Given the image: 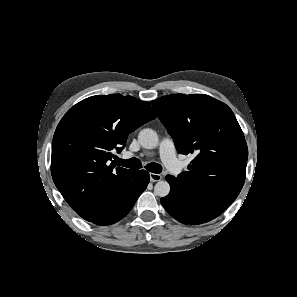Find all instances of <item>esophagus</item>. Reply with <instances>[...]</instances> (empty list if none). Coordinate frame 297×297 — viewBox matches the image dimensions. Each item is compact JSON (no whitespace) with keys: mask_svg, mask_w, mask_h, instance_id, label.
Listing matches in <instances>:
<instances>
[{"mask_svg":"<svg viewBox=\"0 0 297 297\" xmlns=\"http://www.w3.org/2000/svg\"><path fill=\"white\" fill-rule=\"evenodd\" d=\"M149 176H150V181H152V182H157L162 179V176L160 174H156V173H150Z\"/></svg>","mask_w":297,"mask_h":297,"instance_id":"esophagus-1","label":"esophagus"}]
</instances>
